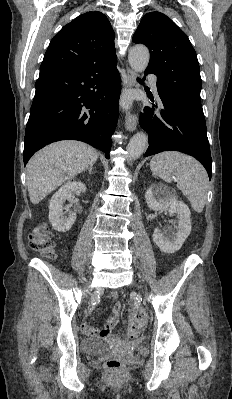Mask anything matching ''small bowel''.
I'll use <instances>...</instances> for the list:
<instances>
[{"label": "small bowel", "instance_id": "c3829d8e", "mask_svg": "<svg viewBox=\"0 0 232 399\" xmlns=\"http://www.w3.org/2000/svg\"><path fill=\"white\" fill-rule=\"evenodd\" d=\"M115 298H116L115 293H111L108 296V299H115ZM120 314H121V307L119 305H115L112 310V319L106 325L101 327H94L90 326L86 322H78L77 328L90 333H108L114 329Z\"/></svg>", "mask_w": 232, "mask_h": 399}]
</instances>
